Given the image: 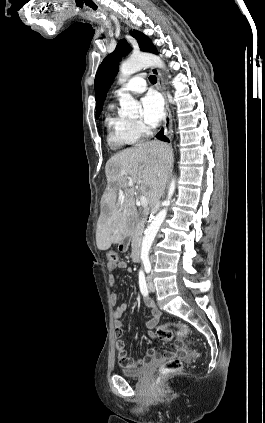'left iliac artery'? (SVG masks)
<instances>
[{
	"instance_id": "44dca946",
	"label": "left iliac artery",
	"mask_w": 265,
	"mask_h": 423,
	"mask_svg": "<svg viewBox=\"0 0 265 423\" xmlns=\"http://www.w3.org/2000/svg\"><path fill=\"white\" fill-rule=\"evenodd\" d=\"M145 271L149 273L151 271V265L149 262H144Z\"/></svg>"
}]
</instances>
